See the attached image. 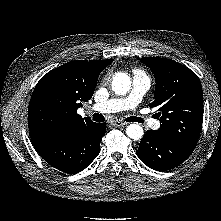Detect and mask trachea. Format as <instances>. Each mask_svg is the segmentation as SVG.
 Masks as SVG:
<instances>
[{"label": "trachea", "mask_w": 221, "mask_h": 221, "mask_svg": "<svg viewBox=\"0 0 221 221\" xmlns=\"http://www.w3.org/2000/svg\"><path fill=\"white\" fill-rule=\"evenodd\" d=\"M92 119L94 121H96V122H102V121L105 120L104 116L99 114V113L93 114L92 115ZM126 121L127 122H139V123H142V120L140 118L134 117V116L126 118Z\"/></svg>", "instance_id": "1"}]
</instances>
